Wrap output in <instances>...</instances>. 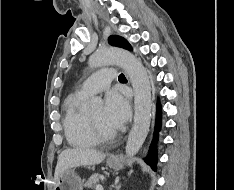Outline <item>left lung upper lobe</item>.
<instances>
[{
	"label": "left lung upper lobe",
	"instance_id": "1",
	"mask_svg": "<svg viewBox=\"0 0 234 190\" xmlns=\"http://www.w3.org/2000/svg\"><path fill=\"white\" fill-rule=\"evenodd\" d=\"M108 41H109V44H111L112 46L124 48V49L130 50V51L132 50V47L129 44V42L127 40H125L123 37L110 36Z\"/></svg>",
	"mask_w": 234,
	"mask_h": 190
}]
</instances>
